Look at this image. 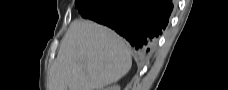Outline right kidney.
<instances>
[{
    "label": "right kidney",
    "mask_w": 228,
    "mask_h": 90,
    "mask_svg": "<svg viewBox=\"0 0 228 90\" xmlns=\"http://www.w3.org/2000/svg\"><path fill=\"white\" fill-rule=\"evenodd\" d=\"M105 90H120V86L118 85L110 86L109 88H105Z\"/></svg>",
    "instance_id": "right-kidney-1"
}]
</instances>
